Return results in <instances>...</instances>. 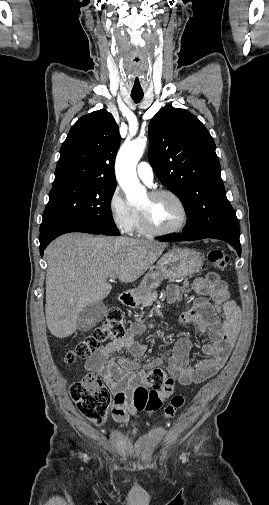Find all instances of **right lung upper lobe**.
<instances>
[{"mask_svg": "<svg viewBox=\"0 0 269 505\" xmlns=\"http://www.w3.org/2000/svg\"><path fill=\"white\" fill-rule=\"evenodd\" d=\"M120 145L118 126L107 110L84 115L60 149L52 187L71 183L116 184L114 162Z\"/></svg>", "mask_w": 269, "mask_h": 505, "instance_id": "1", "label": "right lung upper lobe"}]
</instances>
